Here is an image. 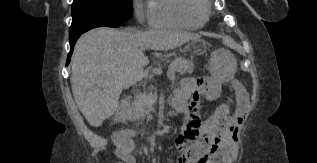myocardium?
<instances>
[{
    "instance_id": "obj_1",
    "label": "myocardium",
    "mask_w": 317,
    "mask_h": 163,
    "mask_svg": "<svg viewBox=\"0 0 317 163\" xmlns=\"http://www.w3.org/2000/svg\"><path fill=\"white\" fill-rule=\"evenodd\" d=\"M203 1H204V9H205V12L207 13L208 9H207V4L205 3L206 0H203Z\"/></svg>"
}]
</instances>
